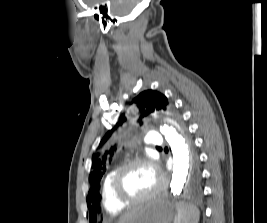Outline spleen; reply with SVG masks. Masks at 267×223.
Returning <instances> with one entry per match:
<instances>
[{"mask_svg":"<svg viewBox=\"0 0 267 223\" xmlns=\"http://www.w3.org/2000/svg\"><path fill=\"white\" fill-rule=\"evenodd\" d=\"M177 216L174 223H198L200 219L199 209L186 202H179L176 205Z\"/></svg>","mask_w":267,"mask_h":223,"instance_id":"1","label":"spleen"}]
</instances>
